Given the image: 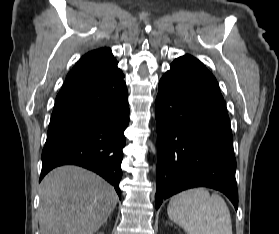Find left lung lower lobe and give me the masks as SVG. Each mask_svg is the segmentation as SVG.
<instances>
[{"instance_id":"1","label":"left lung lower lobe","mask_w":279,"mask_h":234,"mask_svg":"<svg viewBox=\"0 0 279 234\" xmlns=\"http://www.w3.org/2000/svg\"><path fill=\"white\" fill-rule=\"evenodd\" d=\"M156 209L188 188L223 192L238 208L233 137L215 77L196 58L174 60L156 98Z\"/></svg>"}]
</instances>
